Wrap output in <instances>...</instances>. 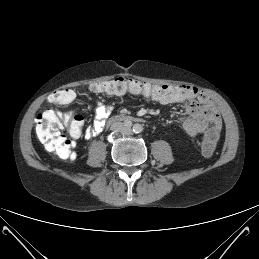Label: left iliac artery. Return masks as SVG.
Segmentation results:
<instances>
[{
    "instance_id": "44dca946",
    "label": "left iliac artery",
    "mask_w": 259,
    "mask_h": 259,
    "mask_svg": "<svg viewBox=\"0 0 259 259\" xmlns=\"http://www.w3.org/2000/svg\"><path fill=\"white\" fill-rule=\"evenodd\" d=\"M133 131H134L135 133H141V132L143 131V127H142L140 124H135V125L133 126Z\"/></svg>"
}]
</instances>
